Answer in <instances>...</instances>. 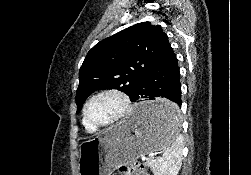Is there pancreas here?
<instances>
[{
  "mask_svg": "<svg viewBox=\"0 0 251 175\" xmlns=\"http://www.w3.org/2000/svg\"><path fill=\"white\" fill-rule=\"evenodd\" d=\"M146 165H150V161H145Z\"/></svg>",
  "mask_w": 251,
  "mask_h": 175,
  "instance_id": "1",
  "label": "pancreas"
}]
</instances>
